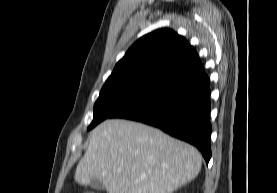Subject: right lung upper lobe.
<instances>
[{"label": "right lung upper lobe", "instance_id": "right-lung-upper-lobe-1", "mask_svg": "<svg viewBox=\"0 0 277 193\" xmlns=\"http://www.w3.org/2000/svg\"><path fill=\"white\" fill-rule=\"evenodd\" d=\"M203 68L195 49L170 29H159L136 41L116 64L102 89L155 91Z\"/></svg>", "mask_w": 277, "mask_h": 193}]
</instances>
